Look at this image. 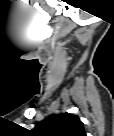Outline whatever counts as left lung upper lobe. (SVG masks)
Here are the masks:
<instances>
[{"label":"left lung upper lobe","instance_id":"5c2ea615","mask_svg":"<svg viewBox=\"0 0 114 136\" xmlns=\"http://www.w3.org/2000/svg\"><path fill=\"white\" fill-rule=\"evenodd\" d=\"M32 132L38 136H83V123L77 115L57 114L43 120Z\"/></svg>","mask_w":114,"mask_h":136}]
</instances>
